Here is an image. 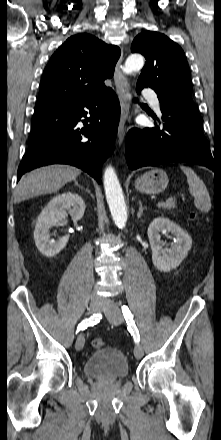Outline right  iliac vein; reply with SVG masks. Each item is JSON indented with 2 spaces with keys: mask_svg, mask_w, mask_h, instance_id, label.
<instances>
[{
  "mask_svg": "<svg viewBox=\"0 0 221 440\" xmlns=\"http://www.w3.org/2000/svg\"><path fill=\"white\" fill-rule=\"evenodd\" d=\"M102 306V302L96 298L95 296L91 297L90 300V305L88 308V314H95L96 312H98L100 310ZM85 343V337L84 334H79V336L77 337L76 343H75V348L76 350H81L84 346Z\"/></svg>",
  "mask_w": 221,
  "mask_h": 440,
  "instance_id": "63e3f726",
  "label": "right iliac vein"
}]
</instances>
